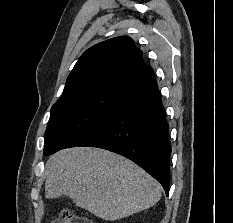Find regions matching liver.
<instances>
[{"label":"liver","mask_w":233,"mask_h":223,"mask_svg":"<svg viewBox=\"0 0 233 223\" xmlns=\"http://www.w3.org/2000/svg\"><path fill=\"white\" fill-rule=\"evenodd\" d=\"M45 177V197L68 195L105 221L148 209L161 197L160 183L142 167L98 147L57 151L46 163Z\"/></svg>","instance_id":"liver-1"}]
</instances>
